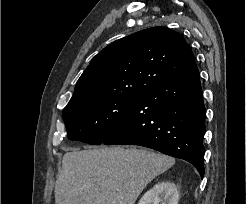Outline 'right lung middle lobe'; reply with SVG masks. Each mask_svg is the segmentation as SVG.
Wrapping results in <instances>:
<instances>
[{"label":"right lung middle lobe","instance_id":"right-lung-middle-lobe-1","mask_svg":"<svg viewBox=\"0 0 246 204\" xmlns=\"http://www.w3.org/2000/svg\"><path fill=\"white\" fill-rule=\"evenodd\" d=\"M139 95H105L65 107L68 138L94 145L103 143L124 123Z\"/></svg>","mask_w":246,"mask_h":204}]
</instances>
